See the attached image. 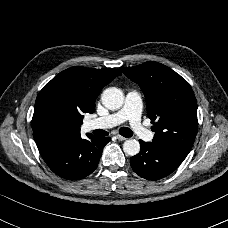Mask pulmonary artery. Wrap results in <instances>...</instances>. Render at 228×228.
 <instances>
[{
  "label": "pulmonary artery",
  "instance_id": "e3ab8cb5",
  "mask_svg": "<svg viewBox=\"0 0 228 228\" xmlns=\"http://www.w3.org/2000/svg\"><path fill=\"white\" fill-rule=\"evenodd\" d=\"M141 109V97L136 93H131L126 97L125 105L122 110L104 117L88 120L84 123V127L87 131L111 128L124 122L125 117L128 124L133 127L134 134L139 136L142 141L147 142L152 140L153 134L150 130L145 129L144 125L141 123Z\"/></svg>",
  "mask_w": 228,
  "mask_h": 228
}]
</instances>
